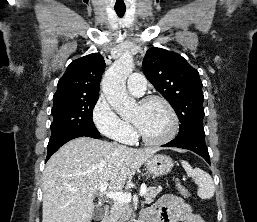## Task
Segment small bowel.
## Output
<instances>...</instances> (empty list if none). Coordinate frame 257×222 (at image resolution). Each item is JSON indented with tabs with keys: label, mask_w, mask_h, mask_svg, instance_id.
Instances as JSON below:
<instances>
[{
	"label": "small bowel",
	"mask_w": 257,
	"mask_h": 222,
	"mask_svg": "<svg viewBox=\"0 0 257 222\" xmlns=\"http://www.w3.org/2000/svg\"><path fill=\"white\" fill-rule=\"evenodd\" d=\"M144 218V222H204L184 199L174 195L159 199L145 212Z\"/></svg>",
	"instance_id": "c3829d8e"
}]
</instances>
